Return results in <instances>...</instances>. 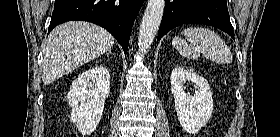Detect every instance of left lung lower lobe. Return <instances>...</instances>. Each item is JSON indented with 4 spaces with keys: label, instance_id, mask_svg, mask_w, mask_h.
<instances>
[{
    "label": "left lung lower lobe",
    "instance_id": "0a47b994",
    "mask_svg": "<svg viewBox=\"0 0 280 137\" xmlns=\"http://www.w3.org/2000/svg\"><path fill=\"white\" fill-rule=\"evenodd\" d=\"M189 23L216 27L234 39L226 0H166L157 39L171 29Z\"/></svg>",
    "mask_w": 280,
    "mask_h": 137
}]
</instances>
